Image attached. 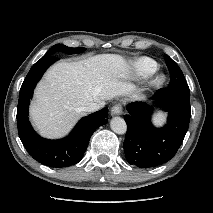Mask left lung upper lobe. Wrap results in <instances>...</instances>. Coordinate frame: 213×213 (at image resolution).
Instances as JSON below:
<instances>
[{
	"label": "left lung upper lobe",
	"instance_id": "1",
	"mask_svg": "<svg viewBox=\"0 0 213 213\" xmlns=\"http://www.w3.org/2000/svg\"><path fill=\"white\" fill-rule=\"evenodd\" d=\"M165 61L171 74V80L170 84L168 85V88L189 93V87L181 69L168 55H165Z\"/></svg>",
	"mask_w": 213,
	"mask_h": 213
}]
</instances>
